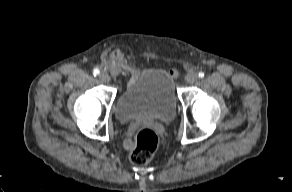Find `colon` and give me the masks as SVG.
I'll list each match as a JSON object with an SVG mask.
<instances>
[{"instance_id":"obj_1","label":"colon","mask_w":292,"mask_h":192,"mask_svg":"<svg viewBox=\"0 0 292 192\" xmlns=\"http://www.w3.org/2000/svg\"><path fill=\"white\" fill-rule=\"evenodd\" d=\"M134 148L130 155L133 164L141 166L152 160L159 147V137L149 126L139 128L134 137ZM157 142V145H154Z\"/></svg>"}]
</instances>
